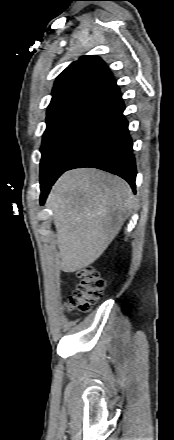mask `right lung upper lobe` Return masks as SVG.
<instances>
[{
  "instance_id": "cb5924a9",
  "label": "right lung upper lobe",
  "mask_w": 174,
  "mask_h": 440,
  "mask_svg": "<svg viewBox=\"0 0 174 440\" xmlns=\"http://www.w3.org/2000/svg\"><path fill=\"white\" fill-rule=\"evenodd\" d=\"M116 82L98 56H82L56 79L47 116L88 97H98Z\"/></svg>"
}]
</instances>
